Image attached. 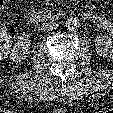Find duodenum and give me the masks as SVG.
<instances>
[{
  "instance_id": "obj_1",
  "label": "duodenum",
  "mask_w": 113,
  "mask_h": 113,
  "mask_svg": "<svg viewBox=\"0 0 113 113\" xmlns=\"http://www.w3.org/2000/svg\"><path fill=\"white\" fill-rule=\"evenodd\" d=\"M87 19V15H83ZM62 19V13L57 10H37L30 13L27 16V21L29 23H34L39 20H60Z\"/></svg>"
}]
</instances>
